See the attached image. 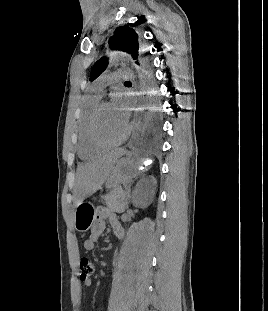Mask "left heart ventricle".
Returning a JSON list of instances; mask_svg holds the SVG:
<instances>
[{
  "instance_id": "left-heart-ventricle-1",
  "label": "left heart ventricle",
  "mask_w": 268,
  "mask_h": 311,
  "mask_svg": "<svg viewBox=\"0 0 268 311\" xmlns=\"http://www.w3.org/2000/svg\"><path fill=\"white\" fill-rule=\"evenodd\" d=\"M127 123L123 122L111 104L103 107L99 118V133L106 141H115L125 132Z\"/></svg>"
}]
</instances>
